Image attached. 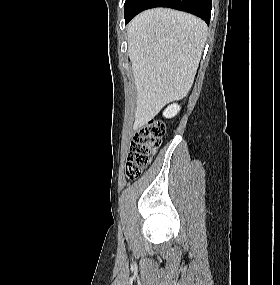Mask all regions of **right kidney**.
<instances>
[{
    "label": "right kidney",
    "mask_w": 280,
    "mask_h": 285,
    "mask_svg": "<svg viewBox=\"0 0 280 285\" xmlns=\"http://www.w3.org/2000/svg\"><path fill=\"white\" fill-rule=\"evenodd\" d=\"M180 111V106L178 104H172L166 108L163 115L166 118H172Z\"/></svg>",
    "instance_id": "right-kidney-1"
}]
</instances>
